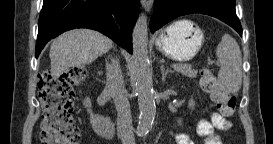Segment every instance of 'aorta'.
I'll return each mask as SVG.
<instances>
[{
	"label": "aorta",
	"mask_w": 273,
	"mask_h": 144,
	"mask_svg": "<svg viewBox=\"0 0 273 144\" xmlns=\"http://www.w3.org/2000/svg\"><path fill=\"white\" fill-rule=\"evenodd\" d=\"M134 78L139 105L138 135H146L152 128L155 114V91L148 56V22L142 13L134 26L132 33Z\"/></svg>",
	"instance_id": "obj_1"
}]
</instances>
